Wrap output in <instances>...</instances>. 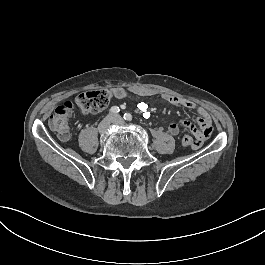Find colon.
<instances>
[{
    "instance_id": "5ec220e1",
    "label": "colon",
    "mask_w": 265,
    "mask_h": 265,
    "mask_svg": "<svg viewBox=\"0 0 265 265\" xmlns=\"http://www.w3.org/2000/svg\"><path fill=\"white\" fill-rule=\"evenodd\" d=\"M113 99V93L109 89H93L85 91L76 97V103L80 111L84 114H93L100 112L108 107ZM75 97H72L67 104L60 106L54 114L49 118L50 128L57 133L62 140H67L69 131L67 129V116L70 113L69 104L74 102ZM193 136H184L182 143L192 148Z\"/></svg>"
}]
</instances>
